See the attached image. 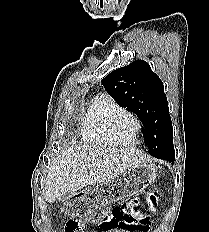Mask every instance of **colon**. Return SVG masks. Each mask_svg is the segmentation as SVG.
I'll return each mask as SVG.
<instances>
[{"instance_id": "obj_1", "label": "colon", "mask_w": 209, "mask_h": 232, "mask_svg": "<svg viewBox=\"0 0 209 232\" xmlns=\"http://www.w3.org/2000/svg\"><path fill=\"white\" fill-rule=\"evenodd\" d=\"M158 192L152 191L148 194L147 205L150 210L155 211L158 205ZM127 204L113 207L109 211H95V214H87L90 220L99 224L100 228H126L136 229L144 226H151L152 222L140 218L137 209H127ZM70 215V214H69ZM82 229L81 221L70 220L67 222L66 232H79Z\"/></svg>"}]
</instances>
